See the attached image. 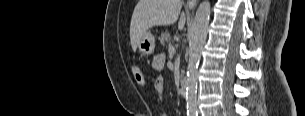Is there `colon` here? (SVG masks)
<instances>
[{
  "label": "colon",
  "mask_w": 305,
  "mask_h": 116,
  "mask_svg": "<svg viewBox=\"0 0 305 116\" xmlns=\"http://www.w3.org/2000/svg\"><path fill=\"white\" fill-rule=\"evenodd\" d=\"M132 74H133L134 80L136 81V83L138 85H140V86L146 85L145 77L138 67H136V66L132 67Z\"/></svg>",
  "instance_id": "obj_1"
}]
</instances>
